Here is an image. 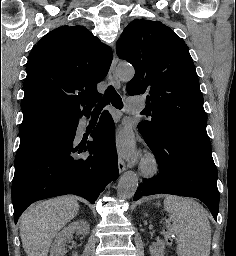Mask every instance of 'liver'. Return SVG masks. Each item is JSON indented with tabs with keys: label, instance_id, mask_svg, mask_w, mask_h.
<instances>
[{
	"label": "liver",
	"instance_id": "6515ba94",
	"mask_svg": "<svg viewBox=\"0 0 236 256\" xmlns=\"http://www.w3.org/2000/svg\"><path fill=\"white\" fill-rule=\"evenodd\" d=\"M77 200L62 196L32 204L20 218V236L27 256H48L53 238L77 216Z\"/></svg>",
	"mask_w": 236,
	"mask_h": 256
}]
</instances>
